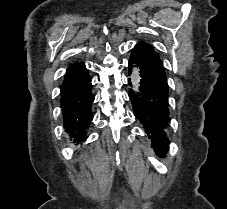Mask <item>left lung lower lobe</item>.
Returning <instances> with one entry per match:
<instances>
[{"label": "left lung lower lobe", "instance_id": "1", "mask_svg": "<svg viewBox=\"0 0 227 209\" xmlns=\"http://www.w3.org/2000/svg\"><path fill=\"white\" fill-rule=\"evenodd\" d=\"M140 69V81L138 95L129 90V98L133 104L135 116L143 123L149 139L152 140V148L157 155H163L169 149V139L166 129L170 121L168 109V84L165 70L162 64L153 60L139 48L134 47L129 59V75L133 64ZM131 79L128 80L131 85Z\"/></svg>", "mask_w": 227, "mask_h": 209}]
</instances>
